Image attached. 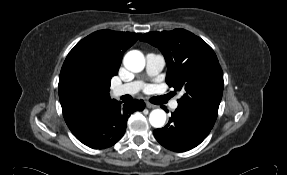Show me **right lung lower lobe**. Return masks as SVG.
<instances>
[{
	"label": "right lung lower lobe",
	"mask_w": 287,
	"mask_h": 175,
	"mask_svg": "<svg viewBox=\"0 0 287 175\" xmlns=\"http://www.w3.org/2000/svg\"><path fill=\"white\" fill-rule=\"evenodd\" d=\"M143 100L121 104L110 100L91 110L86 116L67 123L74 136L93 149H105L118 142L125 133L127 119L134 111H142Z\"/></svg>",
	"instance_id": "obj_1"
}]
</instances>
